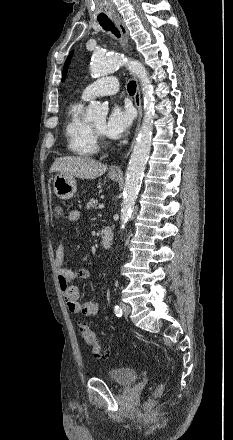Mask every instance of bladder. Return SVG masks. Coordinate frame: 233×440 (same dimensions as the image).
I'll list each match as a JSON object with an SVG mask.
<instances>
[{
  "mask_svg": "<svg viewBox=\"0 0 233 440\" xmlns=\"http://www.w3.org/2000/svg\"><path fill=\"white\" fill-rule=\"evenodd\" d=\"M138 376L139 372L134 368L118 367L109 371L105 378L118 386L125 387L132 385Z\"/></svg>",
  "mask_w": 233,
  "mask_h": 440,
  "instance_id": "1",
  "label": "bladder"
}]
</instances>
